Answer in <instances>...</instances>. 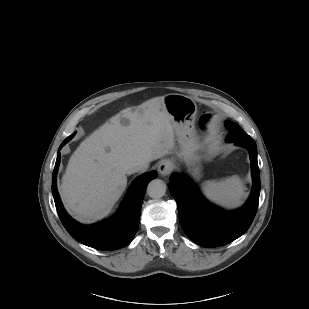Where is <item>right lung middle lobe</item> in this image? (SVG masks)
<instances>
[{
    "instance_id": "1",
    "label": "right lung middle lobe",
    "mask_w": 309,
    "mask_h": 309,
    "mask_svg": "<svg viewBox=\"0 0 309 309\" xmlns=\"http://www.w3.org/2000/svg\"><path fill=\"white\" fill-rule=\"evenodd\" d=\"M72 136H73V135L69 136L68 139H71Z\"/></svg>"
}]
</instances>
